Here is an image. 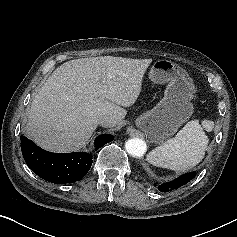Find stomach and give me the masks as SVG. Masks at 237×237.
<instances>
[{
    "label": "stomach",
    "instance_id": "0dacf381",
    "mask_svg": "<svg viewBox=\"0 0 237 237\" xmlns=\"http://www.w3.org/2000/svg\"><path fill=\"white\" fill-rule=\"evenodd\" d=\"M149 79L155 84L168 83L164 97L153 109L140 115L135 123L152 143L160 144L173 136L193 114L191 100L195 86L183 68L164 59L153 63Z\"/></svg>",
    "mask_w": 237,
    "mask_h": 237
}]
</instances>
